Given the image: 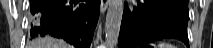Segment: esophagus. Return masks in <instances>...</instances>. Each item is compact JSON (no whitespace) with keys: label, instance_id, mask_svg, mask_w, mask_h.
Returning <instances> with one entry per match:
<instances>
[{"label":"esophagus","instance_id":"34e87169","mask_svg":"<svg viewBox=\"0 0 213 48\" xmlns=\"http://www.w3.org/2000/svg\"><path fill=\"white\" fill-rule=\"evenodd\" d=\"M110 4V0H101V13L103 14Z\"/></svg>","mask_w":213,"mask_h":48}]
</instances>
